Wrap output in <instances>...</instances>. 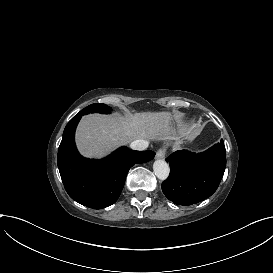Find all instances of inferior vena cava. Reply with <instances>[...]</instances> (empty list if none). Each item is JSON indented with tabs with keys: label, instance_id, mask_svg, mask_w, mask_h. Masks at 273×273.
Returning <instances> with one entry per match:
<instances>
[{
	"label": "inferior vena cava",
	"instance_id": "inferior-vena-cava-1",
	"mask_svg": "<svg viewBox=\"0 0 273 273\" xmlns=\"http://www.w3.org/2000/svg\"><path fill=\"white\" fill-rule=\"evenodd\" d=\"M149 142L146 139L134 140L130 143V148L133 150L141 151L148 147Z\"/></svg>",
	"mask_w": 273,
	"mask_h": 273
}]
</instances>
